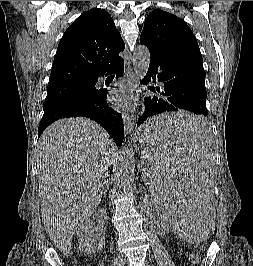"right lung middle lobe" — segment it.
I'll return each instance as SVG.
<instances>
[{
	"label": "right lung middle lobe",
	"instance_id": "1",
	"mask_svg": "<svg viewBox=\"0 0 253 266\" xmlns=\"http://www.w3.org/2000/svg\"><path fill=\"white\" fill-rule=\"evenodd\" d=\"M96 92L97 89L92 80L49 86L43 104L42 119L50 120L55 115L71 112L91 101Z\"/></svg>",
	"mask_w": 253,
	"mask_h": 266
}]
</instances>
